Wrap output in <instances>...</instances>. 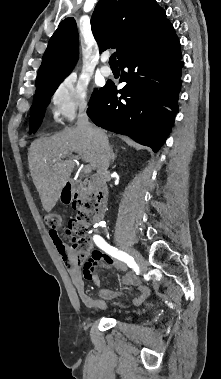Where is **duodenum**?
<instances>
[{
	"instance_id": "1",
	"label": "duodenum",
	"mask_w": 221,
	"mask_h": 379,
	"mask_svg": "<svg viewBox=\"0 0 221 379\" xmlns=\"http://www.w3.org/2000/svg\"><path fill=\"white\" fill-rule=\"evenodd\" d=\"M86 187L91 188L94 192L93 220L100 221L106 212L107 189L98 177L92 176L85 182L70 180L64 187L63 197L67 202H74L82 196Z\"/></svg>"
}]
</instances>
